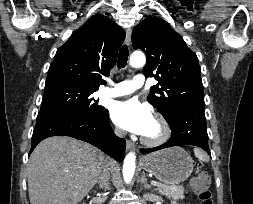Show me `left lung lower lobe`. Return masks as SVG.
Segmentation results:
<instances>
[{
    "label": "left lung lower lobe",
    "mask_w": 253,
    "mask_h": 204,
    "mask_svg": "<svg viewBox=\"0 0 253 204\" xmlns=\"http://www.w3.org/2000/svg\"><path fill=\"white\" fill-rule=\"evenodd\" d=\"M169 125L172 130L171 138L158 147L141 149V153L147 154L163 148L178 145H194L202 148L211 155L208 146L204 107L193 106L179 112Z\"/></svg>",
    "instance_id": "1"
}]
</instances>
